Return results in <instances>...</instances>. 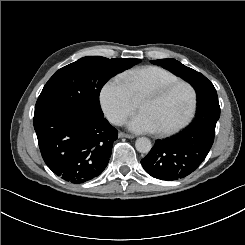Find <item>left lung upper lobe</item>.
<instances>
[{
    "label": "left lung upper lobe",
    "mask_w": 245,
    "mask_h": 245,
    "mask_svg": "<svg viewBox=\"0 0 245 245\" xmlns=\"http://www.w3.org/2000/svg\"><path fill=\"white\" fill-rule=\"evenodd\" d=\"M151 63L162 66L163 68L168 69L172 73L180 76L189 82L195 88V90L200 87L202 83L210 82L203 74L186 67L175 59L152 60Z\"/></svg>",
    "instance_id": "left-lung-upper-lobe-1"
}]
</instances>
